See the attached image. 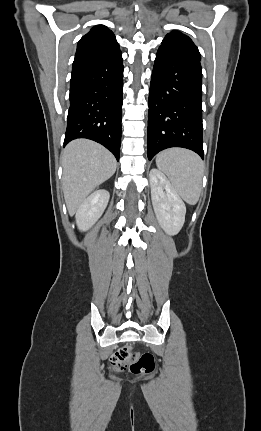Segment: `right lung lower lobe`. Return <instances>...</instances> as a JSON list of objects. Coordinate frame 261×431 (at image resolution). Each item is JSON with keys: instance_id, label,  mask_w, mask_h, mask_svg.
Returning <instances> with one entry per match:
<instances>
[{"instance_id": "98d812e1", "label": "right lung lower lobe", "mask_w": 261, "mask_h": 431, "mask_svg": "<svg viewBox=\"0 0 261 431\" xmlns=\"http://www.w3.org/2000/svg\"><path fill=\"white\" fill-rule=\"evenodd\" d=\"M122 92L120 50L76 55L64 146L73 139H91L105 146L119 160Z\"/></svg>"}]
</instances>
